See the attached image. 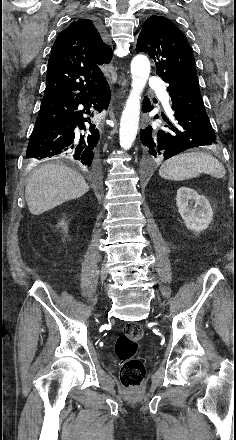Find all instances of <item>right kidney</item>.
<instances>
[{
  "instance_id": "ca27d5eb",
  "label": "right kidney",
  "mask_w": 236,
  "mask_h": 440,
  "mask_svg": "<svg viewBox=\"0 0 236 440\" xmlns=\"http://www.w3.org/2000/svg\"><path fill=\"white\" fill-rule=\"evenodd\" d=\"M59 225H61V226L63 227V229L66 230L67 226H66V224L64 223V221H61V222L59 223Z\"/></svg>"
}]
</instances>
